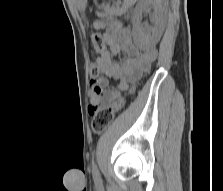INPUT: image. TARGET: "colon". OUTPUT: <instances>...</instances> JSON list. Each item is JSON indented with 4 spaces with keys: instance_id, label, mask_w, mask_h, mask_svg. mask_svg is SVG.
I'll use <instances>...</instances> for the list:
<instances>
[{
    "instance_id": "colon-1",
    "label": "colon",
    "mask_w": 223,
    "mask_h": 191,
    "mask_svg": "<svg viewBox=\"0 0 223 191\" xmlns=\"http://www.w3.org/2000/svg\"><path fill=\"white\" fill-rule=\"evenodd\" d=\"M93 44L96 52L103 55L106 51L105 40L100 33L93 35ZM99 62H92L90 68V77L99 78ZM124 106V98H116L112 103L105 108L95 111L92 121V128L94 132L101 133L107 129L115 116L122 110Z\"/></svg>"
}]
</instances>
